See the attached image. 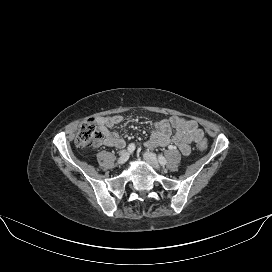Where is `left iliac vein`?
<instances>
[{"label": "left iliac vein", "mask_w": 272, "mask_h": 272, "mask_svg": "<svg viewBox=\"0 0 272 272\" xmlns=\"http://www.w3.org/2000/svg\"><path fill=\"white\" fill-rule=\"evenodd\" d=\"M144 159L156 170H160L161 166L155 156V154L151 152H145L143 154Z\"/></svg>", "instance_id": "obj_1"}]
</instances>
